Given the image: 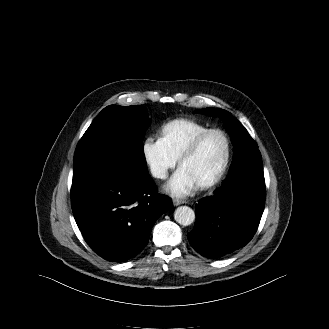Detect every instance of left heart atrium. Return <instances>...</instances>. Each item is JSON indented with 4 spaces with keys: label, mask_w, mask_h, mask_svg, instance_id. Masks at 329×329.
I'll return each mask as SVG.
<instances>
[{
    "label": "left heart atrium",
    "mask_w": 329,
    "mask_h": 329,
    "mask_svg": "<svg viewBox=\"0 0 329 329\" xmlns=\"http://www.w3.org/2000/svg\"><path fill=\"white\" fill-rule=\"evenodd\" d=\"M198 188L196 181L179 167L166 185V190L178 197H184Z\"/></svg>",
    "instance_id": "1"
}]
</instances>
